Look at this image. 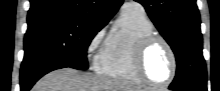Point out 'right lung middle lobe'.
I'll return each mask as SVG.
<instances>
[{"label": "right lung middle lobe", "mask_w": 220, "mask_h": 91, "mask_svg": "<svg viewBox=\"0 0 220 91\" xmlns=\"http://www.w3.org/2000/svg\"><path fill=\"white\" fill-rule=\"evenodd\" d=\"M103 27L72 19H53L28 24L20 77L36 73L50 64L87 69V48Z\"/></svg>", "instance_id": "1"}]
</instances>
